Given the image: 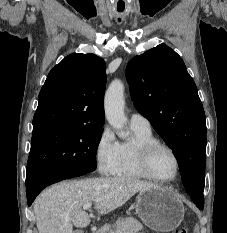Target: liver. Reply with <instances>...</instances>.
Returning <instances> with one entry per match:
<instances>
[{"mask_svg":"<svg viewBox=\"0 0 227 233\" xmlns=\"http://www.w3.org/2000/svg\"><path fill=\"white\" fill-rule=\"evenodd\" d=\"M158 187L132 178H89L67 181L43 191L34 202V213L39 233H74L73 226L84 228L90 217L82 209L95 203L100 214H107L125 204L142 190Z\"/></svg>","mask_w":227,"mask_h":233,"instance_id":"6515ba94","label":"liver"}]
</instances>
